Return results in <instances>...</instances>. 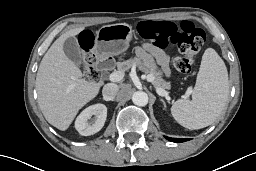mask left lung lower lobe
I'll return each mask as SVG.
<instances>
[{
  "mask_svg": "<svg viewBox=\"0 0 256 171\" xmlns=\"http://www.w3.org/2000/svg\"><path fill=\"white\" fill-rule=\"evenodd\" d=\"M166 139L172 142H185L188 140V139H179V138H170V137H166Z\"/></svg>",
  "mask_w": 256,
  "mask_h": 171,
  "instance_id": "1",
  "label": "left lung lower lobe"
}]
</instances>
